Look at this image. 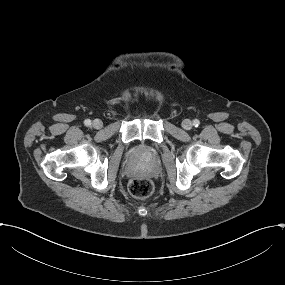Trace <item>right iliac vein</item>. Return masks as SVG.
Here are the masks:
<instances>
[{
  "mask_svg": "<svg viewBox=\"0 0 285 285\" xmlns=\"http://www.w3.org/2000/svg\"><path fill=\"white\" fill-rule=\"evenodd\" d=\"M92 126H93V128H95V129H100V128L103 127V123H102L101 120L96 119V120L93 121Z\"/></svg>",
  "mask_w": 285,
  "mask_h": 285,
  "instance_id": "1",
  "label": "right iliac vein"
}]
</instances>
